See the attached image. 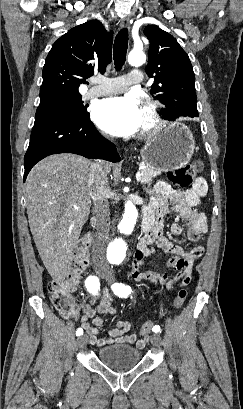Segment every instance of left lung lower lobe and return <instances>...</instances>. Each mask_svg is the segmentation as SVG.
Segmentation results:
<instances>
[{
  "instance_id": "left-lung-lower-lobe-1",
  "label": "left lung lower lobe",
  "mask_w": 243,
  "mask_h": 409,
  "mask_svg": "<svg viewBox=\"0 0 243 409\" xmlns=\"http://www.w3.org/2000/svg\"><path fill=\"white\" fill-rule=\"evenodd\" d=\"M198 117V114H192V113H179L177 114V116L172 117V120L170 121H174L176 118L178 117ZM168 120V119H167Z\"/></svg>"
}]
</instances>
